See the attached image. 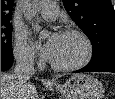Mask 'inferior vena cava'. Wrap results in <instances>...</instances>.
<instances>
[{
  "instance_id": "1",
  "label": "inferior vena cava",
  "mask_w": 115,
  "mask_h": 99,
  "mask_svg": "<svg viewBox=\"0 0 115 99\" xmlns=\"http://www.w3.org/2000/svg\"><path fill=\"white\" fill-rule=\"evenodd\" d=\"M35 74L33 58L26 54L16 57L14 78L19 88L25 87L27 80Z\"/></svg>"
}]
</instances>
